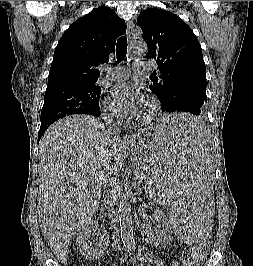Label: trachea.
I'll list each match as a JSON object with an SVG mask.
<instances>
[{
	"label": "trachea",
	"mask_w": 253,
	"mask_h": 266,
	"mask_svg": "<svg viewBox=\"0 0 253 266\" xmlns=\"http://www.w3.org/2000/svg\"><path fill=\"white\" fill-rule=\"evenodd\" d=\"M126 54H127V38L126 36H121L117 40V44H116V56H117L118 62L126 59Z\"/></svg>",
	"instance_id": "trachea-1"
}]
</instances>
